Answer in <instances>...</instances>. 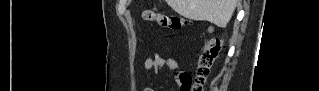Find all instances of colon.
Instances as JSON below:
<instances>
[{"label": "colon", "instance_id": "1", "mask_svg": "<svg viewBox=\"0 0 319 91\" xmlns=\"http://www.w3.org/2000/svg\"><path fill=\"white\" fill-rule=\"evenodd\" d=\"M143 17L146 21L154 23L170 33H177L186 24V21L182 17L167 13L155 7L144 11ZM222 44L223 39L221 37H211L204 42L198 52L196 77L192 79L188 74L180 75V91L203 90L205 80L209 76L211 68L220 54Z\"/></svg>", "mask_w": 319, "mask_h": 91}]
</instances>
